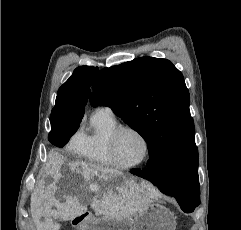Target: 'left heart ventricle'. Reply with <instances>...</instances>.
<instances>
[{
	"mask_svg": "<svg viewBox=\"0 0 241 230\" xmlns=\"http://www.w3.org/2000/svg\"><path fill=\"white\" fill-rule=\"evenodd\" d=\"M145 147L141 138L132 131H124L118 139L116 154L123 163H135L142 159Z\"/></svg>",
	"mask_w": 241,
	"mask_h": 230,
	"instance_id": "left-heart-ventricle-1",
	"label": "left heart ventricle"
}]
</instances>
